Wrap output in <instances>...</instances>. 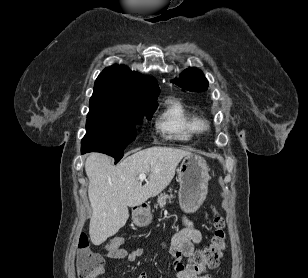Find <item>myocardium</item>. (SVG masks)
Returning a JSON list of instances; mask_svg holds the SVG:
<instances>
[{
  "label": "myocardium",
  "instance_id": "myocardium-1",
  "mask_svg": "<svg viewBox=\"0 0 308 278\" xmlns=\"http://www.w3.org/2000/svg\"><path fill=\"white\" fill-rule=\"evenodd\" d=\"M198 127H199L200 131H204V130H207L209 128V124H208L207 121H205L203 119H199Z\"/></svg>",
  "mask_w": 308,
  "mask_h": 278
}]
</instances>
